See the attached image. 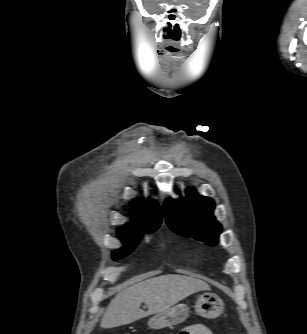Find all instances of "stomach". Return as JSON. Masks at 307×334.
<instances>
[{"mask_svg":"<svg viewBox=\"0 0 307 334\" xmlns=\"http://www.w3.org/2000/svg\"><path fill=\"white\" fill-rule=\"evenodd\" d=\"M224 310V303L216 294L203 293L199 295L195 303V311L198 315L214 319L220 316ZM189 307L186 304H177L165 311L157 313L149 321L152 329L172 327L184 322L189 316Z\"/></svg>","mask_w":307,"mask_h":334,"instance_id":"obj_1","label":"stomach"}]
</instances>
